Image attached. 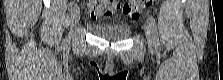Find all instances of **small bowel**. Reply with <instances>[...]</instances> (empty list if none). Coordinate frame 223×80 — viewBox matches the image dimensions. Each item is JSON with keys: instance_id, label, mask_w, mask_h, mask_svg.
<instances>
[{"instance_id": "1", "label": "small bowel", "mask_w": 223, "mask_h": 80, "mask_svg": "<svg viewBox=\"0 0 223 80\" xmlns=\"http://www.w3.org/2000/svg\"><path fill=\"white\" fill-rule=\"evenodd\" d=\"M89 13L93 18L101 16H110L116 10L115 5H109L104 2H92L88 6Z\"/></svg>"}]
</instances>
